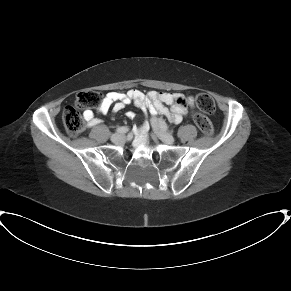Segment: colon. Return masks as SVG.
I'll use <instances>...</instances> for the list:
<instances>
[{"instance_id": "colon-1", "label": "colon", "mask_w": 291, "mask_h": 291, "mask_svg": "<svg viewBox=\"0 0 291 291\" xmlns=\"http://www.w3.org/2000/svg\"><path fill=\"white\" fill-rule=\"evenodd\" d=\"M102 102V94L96 90H82L77 96L73 106H68L64 109L62 114V122L66 131L75 136L84 128V117L80 111L91 108H98ZM198 107L205 113H212L215 111V102L211 95L206 93L198 94L196 98ZM195 120L203 132L209 136L213 132V126L210 120L203 114L197 113Z\"/></svg>"}]
</instances>
